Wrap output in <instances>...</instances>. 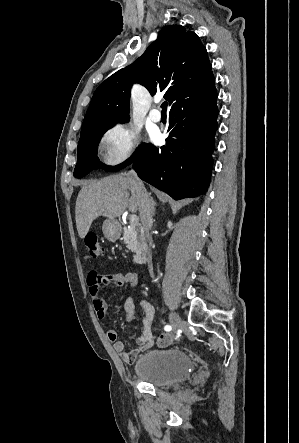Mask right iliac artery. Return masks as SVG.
<instances>
[{"mask_svg": "<svg viewBox=\"0 0 299 443\" xmlns=\"http://www.w3.org/2000/svg\"><path fill=\"white\" fill-rule=\"evenodd\" d=\"M164 329H165V331H170V330L172 329V327H171L170 325H166V326L164 327Z\"/></svg>", "mask_w": 299, "mask_h": 443, "instance_id": "obj_1", "label": "right iliac artery"}]
</instances>
